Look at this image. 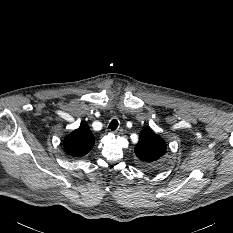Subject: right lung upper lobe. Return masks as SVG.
<instances>
[{
	"label": "right lung upper lobe",
	"instance_id": "1",
	"mask_svg": "<svg viewBox=\"0 0 233 233\" xmlns=\"http://www.w3.org/2000/svg\"><path fill=\"white\" fill-rule=\"evenodd\" d=\"M94 142L89 127L83 124L64 138L63 146L68 155L81 157L92 149Z\"/></svg>",
	"mask_w": 233,
	"mask_h": 233
}]
</instances>
